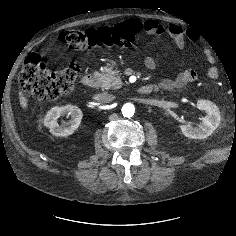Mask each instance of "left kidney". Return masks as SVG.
<instances>
[{
	"mask_svg": "<svg viewBox=\"0 0 236 236\" xmlns=\"http://www.w3.org/2000/svg\"><path fill=\"white\" fill-rule=\"evenodd\" d=\"M197 107L207 112L201 123L193 126L190 124L180 125L182 133L191 139H205L209 137L220 125L221 115L219 108L211 101L197 100Z\"/></svg>",
	"mask_w": 236,
	"mask_h": 236,
	"instance_id": "5707ae66",
	"label": "left kidney"
}]
</instances>
